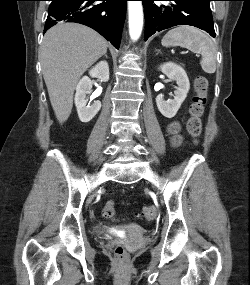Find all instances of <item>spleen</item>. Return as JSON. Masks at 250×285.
Here are the masks:
<instances>
[{"label": "spleen", "instance_id": "spleen-1", "mask_svg": "<svg viewBox=\"0 0 250 285\" xmlns=\"http://www.w3.org/2000/svg\"><path fill=\"white\" fill-rule=\"evenodd\" d=\"M165 47L181 46L201 54L200 65L205 73L213 74L216 71L217 48L208 34L191 26H180L169 30L162 38Z\"/></svg>", "mask_w": 250, "mask_h": 285}]
</instances>
